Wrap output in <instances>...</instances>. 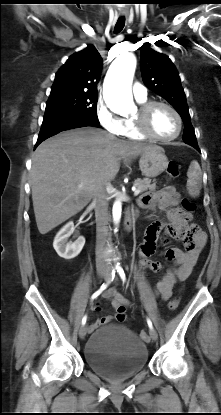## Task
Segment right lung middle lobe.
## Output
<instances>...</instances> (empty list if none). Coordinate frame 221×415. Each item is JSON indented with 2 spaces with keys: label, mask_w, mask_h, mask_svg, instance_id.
Wrapping results in <instances>:
<instances>
[{
  "label": "right lung middle lobe",
  "mask_w": 221,
  "mask_h": 415,
  "mask_svg": "<svg viewBox=\"0 0 221 415\" xmlns=\"http://www.w3.org/2000/svg\"><path fill=\"white\" fill-rule=\"evenodd\" d=\"M97 100V92L63 91L51 93L45 113L77 114L98 121Z\"/></svg>",
  "instance_id": "right-lung-middle-lobe-1"
}]
</instances>
